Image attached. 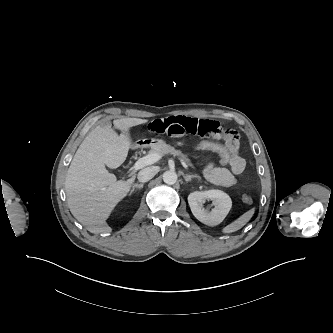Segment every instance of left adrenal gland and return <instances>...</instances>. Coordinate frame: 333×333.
<instances>
[{"label":"left adrenal gland","mask_w":333,"mask_h":333,"mask_svg":"<svg viewBox=\"0 0 333 333\" xmlns=\"http://www.w3.org/2000/svg\"><path fill=\"white\" fill-rule=\"evenodd\" d=\"M183 177H184V179H185L186 182L191 181L192 178H198V179H201V177L198 176V175H183Z\"/></svg>","instance_id":"left-adrenal-gland-1"}]
</instances>
